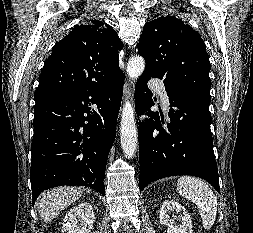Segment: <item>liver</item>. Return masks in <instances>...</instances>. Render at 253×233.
Wrapping results in <instances>:
<instances>
[{"mask_svg": "<svg viewBox=\"0 0 253 233\" xmlns=\"http://www.w3.org/2000/svg\"><path fill=\"white\" fill-rule=\"evenodd\" d=\"M78 187H58L44 192L38 200L40 218L44 222L53 220L62 210L82 196Z\"/></svg>", "mask_w": 253, "mask_h": 233, "instance_id": "1", "label": "liver"}]
</instances>
